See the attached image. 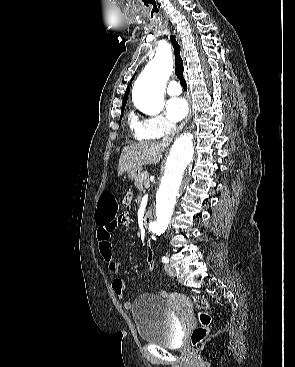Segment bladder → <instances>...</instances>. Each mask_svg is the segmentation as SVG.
<instances>
[{"label":"bladder","mask_w":295,"mask_h":367,"mask_svg":"<svg viewBox=\"0 0 295 367\" xmlns=\"http://www.w3.org/2000/svg\"><path fill=\"white\" fill-rule=\"evenodd\" d=\"M131 310L141 341L168 348L177 346L179 328L164 298L142 294L134 300Z\"/></svg>","instance_id":"1"}]
</instances>
